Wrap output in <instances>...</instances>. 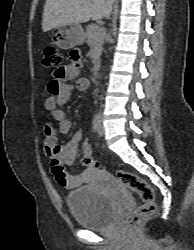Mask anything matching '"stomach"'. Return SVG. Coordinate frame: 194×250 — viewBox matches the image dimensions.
Masks as SVG:
<instances>
[{"label":"stomach","instance_id":"0dacf381","mask_svg":"<svg viewBox=\"0 0 194 250\" xmlns=\"http://www.w3.org/2000/svg\"><path fill=\"white\" fill-rule=\"evenodd\" d=\"M54 43L61 49H70L84 42V30L80 24L55 28Z\"/></svg>","mask_w":194,"mask_h":250}]
</instances>
